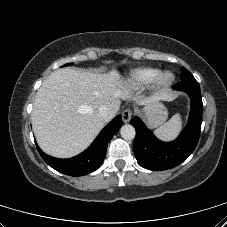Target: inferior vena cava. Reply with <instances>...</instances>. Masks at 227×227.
Masks as SVG:
<instances>
[{
    "label": "inferior vena cava",
    "instance_id": "obj_1",
    "mask_svg": "<svg viewBox=\"0 0 227 227\" xmlns=\"http://www.w3.org/2000/svg\"><path fill=\"white\" fill-rule=\"evenodd\" d=\"M98 111L101 117L106 121L110 120L114 116V111L111 110L107 105H101Z\"/></svg>",
    "mask_w": 227,
    "mask_h": 227
}]
</instances>
